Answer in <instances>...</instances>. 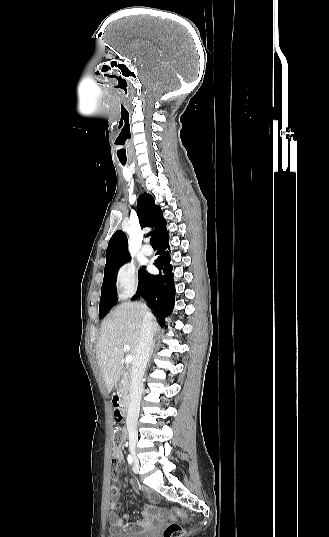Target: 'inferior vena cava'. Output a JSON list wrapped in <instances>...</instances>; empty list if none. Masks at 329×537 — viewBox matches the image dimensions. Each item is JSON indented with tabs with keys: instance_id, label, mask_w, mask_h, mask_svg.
<instances>
[{
	"instance_id": "1",
	"label": "inferior vena cava",
	"mask_w": 329,
	"mask_h": 537,
	"mask_svg": "<svg viewBox=\"0 0 329 537\" xmlns=\"http://www.w3.org/2000/svg\"><path fill=\"white\" fill-rule=\"evenodd\" d=\"M144 316L141 331L138 337V344L131 367V398L128 408L126 425L129 432L137 435V422L140 413V402L143 394L142 378L149 360L150 350L153 341L152 318L144 307Z\"/></svg>"
}]
</instances>
